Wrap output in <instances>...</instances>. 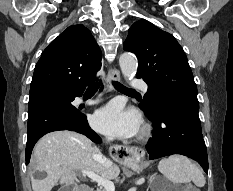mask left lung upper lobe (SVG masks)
I'll return each mask as SVG.
<instances>
[{"instance_id": "left-lung-upper-lobe-1", "label": "left lung upper lobe", "mask_w": 233, "mask_h": 191, "mask_svg": "<svg viewBox=\"0 0 233 191\" xmlns=\"http://www.w3.org/2000/svg\"><path fill=\"white\" fill-rule=\"evenodd\" d=\"M124 50L138 58L137 78L148 84L141 108L149 111L161 98L175 97L198 103L197 88L187 57L176 39L146 20L129 29Z\"/></svg>"}]
</instances>
